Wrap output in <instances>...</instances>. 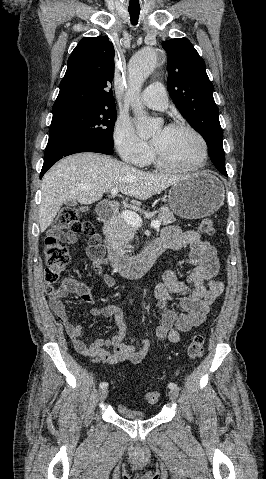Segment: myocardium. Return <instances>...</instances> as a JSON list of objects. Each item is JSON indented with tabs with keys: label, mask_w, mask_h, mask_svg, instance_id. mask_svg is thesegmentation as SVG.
I'll use <instances>...</instances> for the list:
<instances>
[{
	"label": "myocardium",
	"mask_w": 266,
	"mask_h": 479,
	"mask_svg": "<svg viewBox=\"0 0 266 479\" xmlns=\"http://www.w3.org/2000/svg\"><path fill=\"white\" fill-rule=\"evenodd\" d=\"M166 128L172 130H185L190 132L199 142L201 153L198 161L193 165H172L166 163L154 149L153 157L157 167L161 170L169 172H197L201 170L205 166L208 159V145L201 133L191 125L185 123H172L169 124Z\"/></svg>",
	"instance_id": "1"
}]
</instances>
